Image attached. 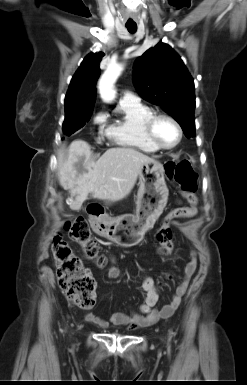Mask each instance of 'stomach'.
<instances>
[{
    "label": "stomach",
    "mask_w": 247,
    "mask_h": 385,
    "mask_svg": "<svg viewBox=\"0 0 247 385\" xmlns=\"http://www.w3.org/2000/svg\"><path fill=\"white\" fill-rule=\"evenodd\" d=\"M168 195L164 166L155 160L144 163L139 172L136 215L109 218L102 235L122 247L137 245L163 212Z\"/></svg>",
    "instance_id": "stomach-1"
}]
</instances>
